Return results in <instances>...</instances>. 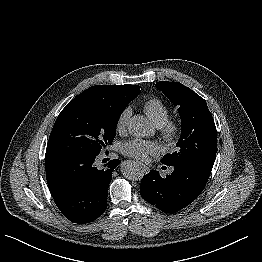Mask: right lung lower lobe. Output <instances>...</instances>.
Returning <instances> with one entry per match:
<instances>
[{
  "label": "right lung lower lobe",
  "mask_w": 262,
  "mask_h": 262,
  "mask_svg": "<svg viewBox=\"0 0 262 262\" xmlns=\"http://www.w3.org/2000/svg\"><path fill=\"white\" fill-rule=\"evenodd\" d=\"M98 154L46 152L45 170L51 195L63 215L73 223L98 218L107 207L108 186L120 160L96 167Z\"/></svg>",
  "instance_id": "1"
}]
</instances>
